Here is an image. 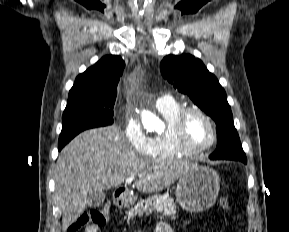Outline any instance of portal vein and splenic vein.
<instances>
[{"label": "portal vein and splenic vein", "instance_id": "1", "mask_svg": "<svg viewBox=\"0 0 289 232\" xmlns=\"http://www.w3.org/2000/svg\"><path fill=\"white\" fill-rule=\"evenodd\" d=\"M134 179H135V176H131L125 180V183L126 184L131 183Z\"/></svg>", "mask_w": 289, "mask_h": 232}]
</instances>
